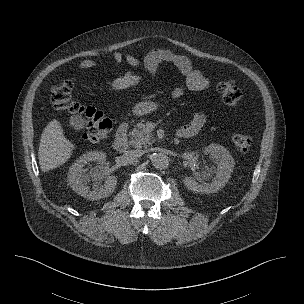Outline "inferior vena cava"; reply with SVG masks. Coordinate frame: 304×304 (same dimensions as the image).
<instances>
[{"instance_id":"inferior-vena-cava-1","label":"inferior vena cava","mask_w":304,"mask_h":304,"mask_svg":"<svg viewBox=\"0 0 304 304\" xmlns=\"http://www.w3.org/2000/svg\"><path fill=\"white\" fill-rule=\"evenodd\" d=\"M143 150H130V151H126L124 153L125 158L130 159V160H135L140 158L143 155Z\"/></svg>"}]
</instances>
